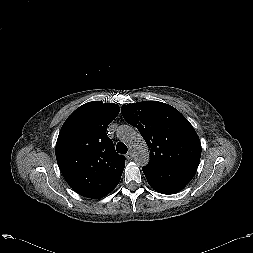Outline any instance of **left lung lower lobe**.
<instances>
[{
  "label": "left lung lower lobe",
  "instance_id": "left-lung-lower-lobe-1",
  "mask_svg": "<svg viewBox=\"0 0 253 253\" xmlns=\"http://www.w3.org/2000/svg\"><path fill=\"white\" fill-rule=\"evenodd\" d=\"M142 170L153 189L169 195L182 190L191 181L197 169L182 165L148 163Z\"/></svg>",
  "mask_w": 253,
  "mask_h": 253
}]
</instances>
